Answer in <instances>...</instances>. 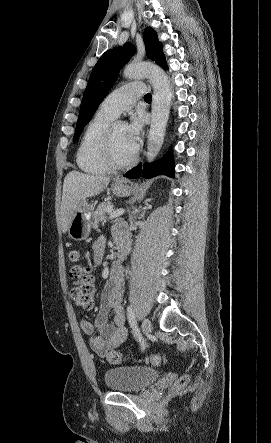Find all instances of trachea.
<instances>
[{
	"mask_svg": "<svg viewBox=\"0 0 271 443\" xmlns=\"http://www.w3.org/2000/svg\"><path fill=\"white\" fill-rule=\"evenodd\" d=\"M145 101H151L152 100V95H150V93H147V95H145Z\"/></svg>",
	"mask_w": 271,
	"mask_h": 443,
	"instance_id": "3493384b",
	"label": "trachea"
}]
</instances>
